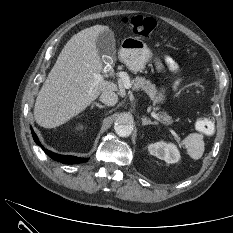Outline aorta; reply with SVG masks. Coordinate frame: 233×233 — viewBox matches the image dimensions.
<instances>
[{"label":"aorta","mask_w":233,"mask_h":233,"mask_svg":"<svg viewBox=\"0 0 233 233\" xmlns=\"http://www.w3.org/2000/svg\"><path fill=\"white\" fill-rule=\"evenodd\" d=\"M115 132L120 137H128L133 131V117L129 113H120L115 120Z\"/></svg>","instance_id":"762f6f07"}]
</instances>
